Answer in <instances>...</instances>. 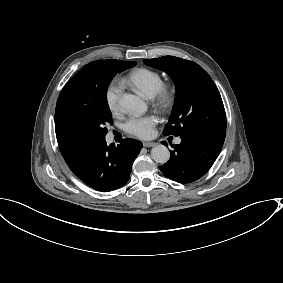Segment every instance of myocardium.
<instances>
[{"instance_id":"myocardium-1","label":"myocardium","mask_w":283,"mask_h":283,"mask_svg":"<svg viewBox=\"0 0 283 283\" xmlns=\"http://www.w3.org/2000/svg\"><path fill=\"white\" fill-rule=\"evenodd\" d=\"M173 100V91L172 88L168 84H161L159 89L152 95L153 103L163 109L166 110L169 108Z\"/></svg>"}]
</instances>
